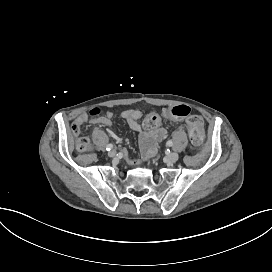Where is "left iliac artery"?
<instances>
[{"mask_svg":"<svg viewBox=\"0 0 272 272\" xmlns=\"http://www.w3.org/2000/svg\"><path fill=\"white\" fill-rule=\"evenodd\" d=\"M167 145H168V146H172V145H173V142H172L171 140H168V141H167Z\"/></svg>","mask_w":272,"mask_h":272,"instance_id":"44dca946","label":"left iliac artery"}]
</instances>
